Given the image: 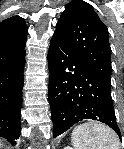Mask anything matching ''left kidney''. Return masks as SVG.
Instances as JSON below:
<instances>
[{
  "mask_svg": "<svg viewBox=\"0 0 124 149\" xmlns=\"http://www.w3.org/2000/svg\"><path fill=\"white\" fill-rule=\"evenodd\" d=\"M64 149H72L70 146H66Z\"/></svg>",
  "mask_w": 124,
  "mask_h": 149,
  "instance_id": "5707ae66",
  "label": "left kidney"
}]
</instances>
